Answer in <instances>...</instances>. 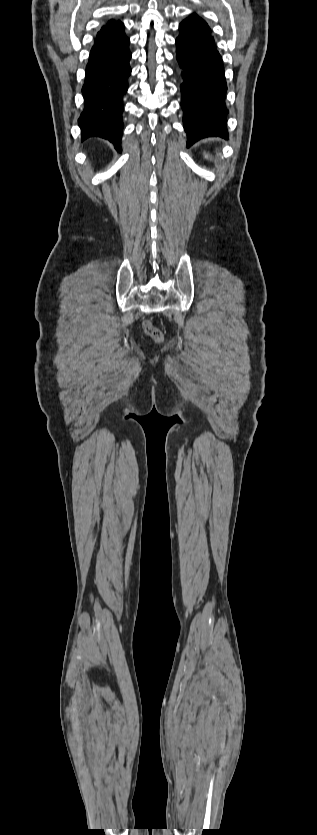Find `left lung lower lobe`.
<instances>
[{"label":"left lung lower lobe","mask_w":317,"mask_h":835,"mask_svg":"<svg viewBox=\"0 0 317 835\" xmlns=\"http://www.w3.org/2000/svg\"><path fill=\"white\" fill-rule=\"evenodd\" d=\"M177 60L182 67L183 126L188 146L205 137L228 138L222 58L208 24L195 13L179 25Z\"/></svg>","instance_id":"left-lung-lower-lobe-1"}]
</instances>
